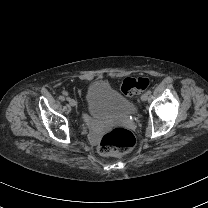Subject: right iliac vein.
<instances>
[{
	"label": "right iliac vein",
	"instance_id": "1",
	"mask_svg": "<svg viewBox=\"0 0 208 208\" xmlns=\"http://www.w3.org/2000/svg\"><path fill=\"white\" fill-rule=\"evenodd\" d=\"M69 104L71 106H76L77 105V102L74 99H71L70 102H69Z\"/></svg>",
	"mask_w": 208,
	"mask_h": 208
}]
</instances>
